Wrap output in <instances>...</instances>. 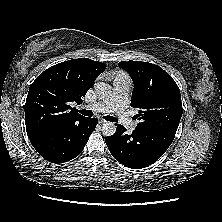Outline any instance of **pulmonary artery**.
Instances as JSON below:
<instances>
[{
	"label": "pulmonary artery",
	"mask_w": 222,
	"mask_h": 222,
	"mask_svg": "<svg viewBox=\"0 0 222 222\" xmlns=\"http://www.w3.org/2000/svg\"><path fill=\"white\" fill-rule=\"evenodd\" d=\"M130 87L131 80L129 76L119 73L114 79L111 94L103 100L88 105L87 108L96 112H115L119 122L130 131H133L137 126V122L129 118L125 112Z\"/></svg>",
	"instance_id": "1"
}]
</instances>
